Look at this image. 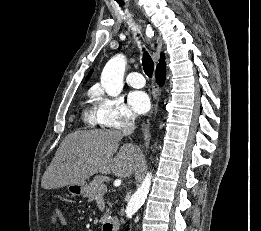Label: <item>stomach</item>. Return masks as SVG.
Segmentation results:
<instances>
[{
	"label": "stomach",
	"mask_w": 261,
	"mask_h": 231,
	"mask_svg": "<svg viewBox=\"0 0 261 231\" xmlns=\"http://www.w3.org/2000/svg\"><path fill=\"white\" fill-rule=\"evenodd\" d=\"M86 184H74L68 187V191L72 196H81L85 194Z\"/></svg>",
	"instance_id": "obj_1"
}]
</instances>
